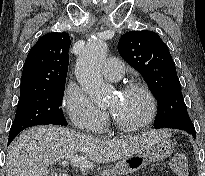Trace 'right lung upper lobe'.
<instances>
[{"label":"right lung upper lobe","instance_id":"1","mask_svg":"<svg viewBox=\"0 0 205 176\" xmlns=\"http://www.w3.org/2000/svg\"><path fill=\"white\" fill-rule=\"evenodd\" d=\"M70 48L67 33H48L30 49L23 66L20 95L46 90L66 82Z\"/></svg>","mask_w":205,"mask_h":176}]
</instances>
